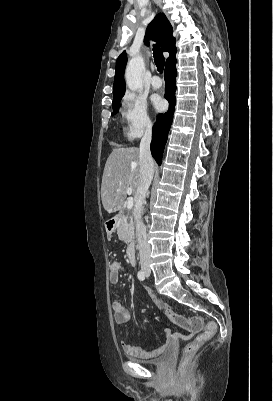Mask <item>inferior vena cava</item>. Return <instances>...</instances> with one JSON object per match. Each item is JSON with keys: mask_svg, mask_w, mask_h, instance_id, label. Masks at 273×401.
<instances>
[{"mask_svg": "<svg viewBox=\"0 0 273 401\" xmlns=\"http://www.w3.org/2000/svg\"><path fill=\"white\" fill-rule=\"evenodd\" d=\"M151 140L152 130L151 128H146L145 134L140 142V174L136 190L137 207L135 209L136 235L139 245L140 261H143V259H149L151 253L150 245L147 241L146 227L141 219L144 198L154 174V162L150 150Z\"/></svg>", "mask_w": 273, "mask_h": 401, "instance_id": "602c4592", "label": "inferior vena cava"}]
</instances>
